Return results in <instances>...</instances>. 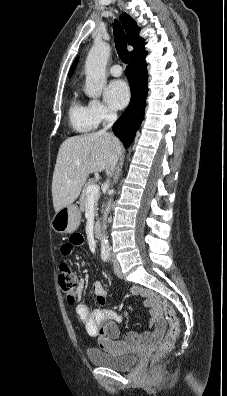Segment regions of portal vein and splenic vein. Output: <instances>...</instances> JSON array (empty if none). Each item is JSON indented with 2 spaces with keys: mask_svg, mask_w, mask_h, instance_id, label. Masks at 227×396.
Segmentation results:
<instances>
[{
  "mask_svg": "<svg viewBox=\"0 0 227 396\" xmlns=\"http://www.w3.org/2000/svg\"><path fill=\"white\" fill-rule=\"evenodd\" d=\"M86 193L88 194V197H94L99 193V186L97 185H90L88 186Z\"/></svg>",
  "mask_w": 227,
  "mask_h": 396,
  "instance_id": "obj_1",
  "label": "portal vein and splenic vein"
}]
</instances>
